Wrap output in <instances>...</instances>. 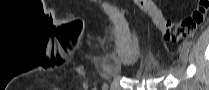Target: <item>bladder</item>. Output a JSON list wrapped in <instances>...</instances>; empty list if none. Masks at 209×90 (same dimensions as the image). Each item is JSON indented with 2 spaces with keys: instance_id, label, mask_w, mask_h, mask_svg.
Returning a JSON list of instances; mask_svg holds the SVG:
<instances>
[{
  "instance_id": "31cf9c89",
  "label": "bladder",
  "mask_w": 209,
  "mask_h": 90,
  "mask_svg": "<svg viewBox=\"0 0 209 90\" xmlns=\"http://www.w3.org/2000/svg\"><path fill=\"white\" fill-rule=\"evenodd\" d=\"M161 71L162 64L156 58L148 56L140 62L137 75L143 78H159Z\"/></svg>"
}]
</instances>
